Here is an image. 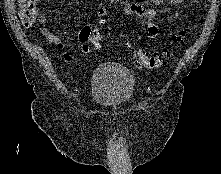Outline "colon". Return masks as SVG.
I'll return each mask as SVG.
<instances>
[{"mask_svg": "<svg viewBox=\"0 0 221 174\" xmlns=\"http://www.w3.org/2000/svg\"><path fill=\"white\" fill-rule=\"evenodd\" d=\"M40 0H17L19 5V18L26 27L32 26L38 17V4ZM183 32L175 35L177 42L183 39ZM103 38L102 32L98 28H84L80 32V40L82 41V52L88 54L93 48H98ZM132 55L137 59L139 66L155 69L164 66L170 57L169 51L162 53L149 54L140 47L133 48Z\"/></svg>", "mask_w": 221, "mask_h": 174, "instance_id": "1", "label": "colon"}]
</instances>
